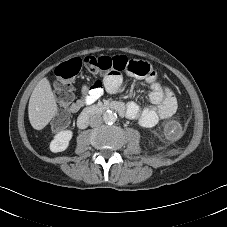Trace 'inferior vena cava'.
<instances>
[{
    "instance_id": "602c4592",
    "label": "inferior vena cava",
    "mask_w": 227,
    "mask_h": 227,
    "mask_svg": "<svg viewBox=\"0 0 227 227\" xmlns=\"http://www.w3.org/2000/svg\"><path fill=\"white\" fill-rule=\"evenodd\" d=\"M101 123H102V117L98 114L91 116L89 119V124L91 127H97L101 125Z\"/></svg>"
}]
</instances>
